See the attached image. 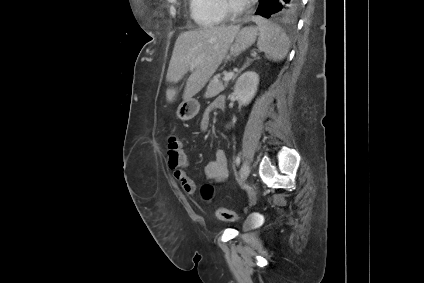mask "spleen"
I'll use <instances>...</instances> for the list:
<instances>
[{
    "mask_svg": "<svg viewBox=\"0 0 424 283\" xmlns=\"http://www.w3.org/2000/svg\"><path fill=\"white\" fill-rule=\"evenodd\" d=\"M257 30L259 31L258 48L266 57L273 61H279L286 57L289 49V38L286 33L276 24L256 17Z\"/></svg>",
    "mask_w": 424,
    "mask_h": 283,
    "instance_id": "1",
    "label": "spleen"
}]
</instances>
